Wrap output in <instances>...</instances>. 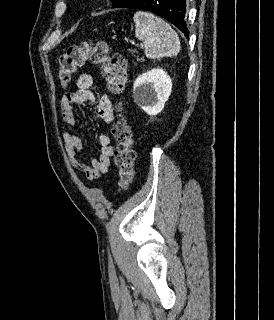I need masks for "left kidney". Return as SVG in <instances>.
<instances>
[{"instance_id":"5707ae66","label":"left kidney","mask_w":274,"mask_h":320,"mask_svg":"<svg viewBox=\"0 0 274 320\" xmlns=\"http://www.w3.org/2000/svg\"><path fill=\"white\" fill-rule=\"evenodd\" d=\"M172 92V80L164 70H150L138 76L133 86V98L149 116L160 114Z\"/></svg>"}]
</instances>
